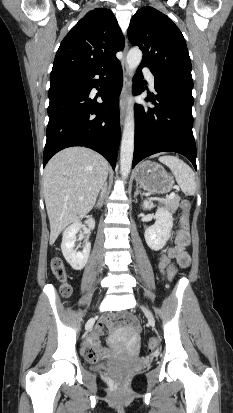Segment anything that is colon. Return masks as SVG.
Instances as JSON below:
<instances>
[{
    "label": "colon",
    "instance_id": "colon-1",
    "mask_svg": "<svg viewBox=\"0 0 233 413\" xmlns=\"http://www.w3.org/2000/svg\"><path fill=\"white\" fill-rule=\"evenodd\" d=\"M180 209H181V217H180V231L188 235V230H189V210H190V203L187 200H183L180 204ZM52 269L55 274V276L63 281V285L61 287L62 294L64 296H69L71 294V287L69 284L65 283V270L62 265V262L59 259H55L52 263ZM176 268L174 265H171L168 270L167 274L170 279H172L175 275ZM157 346V343L155 340H150L147 344V348L149 351H153ZM88 358L91 360H95L96 357L94 355H88ZM117 379L120 377V375L115 376Z\"/></svg>",
    "mask_w": 233,
    "mask_h": 413
}]
</instances>
